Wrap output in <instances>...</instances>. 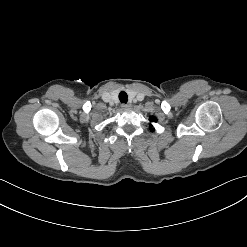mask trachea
Instances as JSON below:
<instances>
[{
	"label": "trachea",
	"mask_w": 247,
	"mask_h": 247,
	"mask_svg": "<svg viewBox=\"0 0 247 247\" xmlns=\"http://www.w3.org/2000/svg\"><path fill=\"white\" fill-rule=\"evenodd\" d=\"M119 100H120L121 103H125V104H126L127 101H128L127 93L124 92V91H121V92L119 93Z\"/></svg>",
	"instance_id": "trachea-1"
}]
</instances>
